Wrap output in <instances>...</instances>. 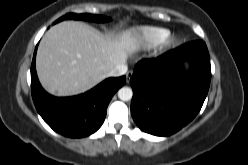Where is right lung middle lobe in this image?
<instances>
[{
    "mask_svg": "<svg viewBox=\"0 0 248 165\" xmlns=\"http://www.w3.org/2000/svg\"><path fill=\"white\" fill-rule=\"evenodd\" d=\"M65 19L89 20L94 22H106L111 20L109 17L101 15L68 13L65 16L59 18L57 21H55V23Z\"/></svg>",
    "mask_w": 248,
    "mask_h": 165,
    "instance_id": "right-lung-middle-lobe-1",
    "label": "right lung middle lobe"
}]
</instances>
